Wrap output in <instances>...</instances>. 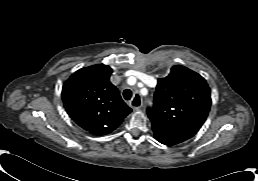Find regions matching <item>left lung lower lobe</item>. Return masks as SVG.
I'll return each mask as SVG.
<instances>
[{
  "mask_svg": "<svg viewBox=\"0 0 258 181\" xmlns=\"http://www.w3.org/2000/svg\"><path fill=\"white\" fill-rule=\"evenodd\" d=\"M153 133L156 140L165 145H175L188 139L176 134L163 131L158 128H153Z\"/></svg>",
  "mask_w": 258,
  "mask_h": 181,
  "instance_id": "1",
  "label": "left lung lower lobe"
}]
</instances>
